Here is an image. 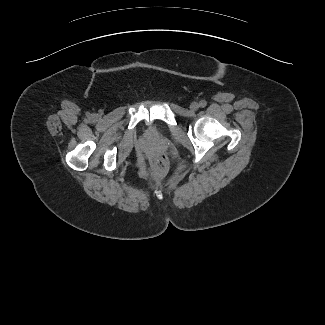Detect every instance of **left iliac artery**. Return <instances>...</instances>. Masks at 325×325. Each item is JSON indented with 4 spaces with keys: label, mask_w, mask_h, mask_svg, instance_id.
Wrapping results in <instances>:
<instances>
[{
    "label": "left iliac artery",
    "mask_w": 325,
    "mask_h": 325,
    "mask_svg": "<svg viewBox=\"0 0 325 325\" xmlns=\"http://www.w3.org/2000/svg\"><path fill=\"white\" fill-rule=\"evenodd\" d=\"M199 105L200 107L204 108L207 105V102L205 100H201Z\"/></svg>",
    "instance_id": "obj_1"
}]
</instances>
